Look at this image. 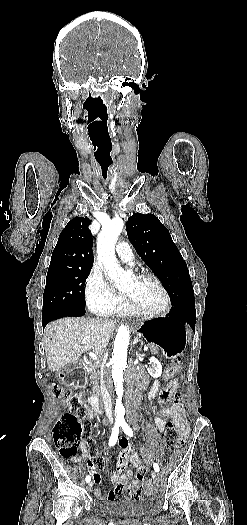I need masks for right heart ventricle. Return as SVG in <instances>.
Masks as SVG:
<instances>
[{"mask_svg": "<svg viewBox=\"0 0 247 525\" xmlns=\"http://www.w3.org/2000/svg\"><path fill=\"white\" fill-rule=\"evenodd\" d=\"M132 312H133V309L130 305L120 304V305L114 306L111 309V311L106 314V316H111V317L130 316L132 315Z\"/></svg>", "mask_w": 247, "mask_h": 525, "instance_id": "obj_1", "label": "right heart ventricle"}]
</instances>
